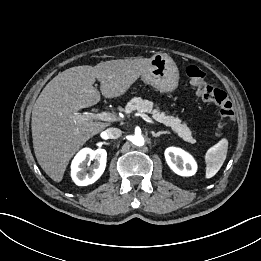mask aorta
<instances>
[{
  "label": "aorta",
  "mask_w": 261,
  "mask_h": 261,
  "mask_svg": "<svg viewBox=\"0 0 261 261\" xmlns=\"http://www.w3.org/2000/svg\"><path fill=\"white\" fill-rule=\"evenodd\" d=\"M132 143L136 146H143L144 145V138L141 134H135L132 139Z\"/></svg>",
  "instance_id": "obj_1"
}]
</instances>
